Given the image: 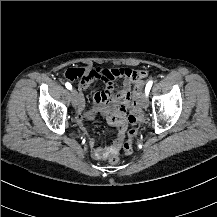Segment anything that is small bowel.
I'll return each instance as SVG.
<instances>
[{
	"label": "small bowel",
	"mask_w": 217,
	"mask_h": 217,
	"mask_svg": "<svg viewBox=\"0 0 217 217\" xmlns=\"http://www.w3.org/2000/svg\"><path fill=\"white\" fill-rule=\"evenodd\" d=\"M145 75L135 76L132 70L128 69L124 74L119 75L123 78L119 88L114 83L117 76L106 69H94L81 75L80 90L86 89L92 81L97 80L105 87L94 95L95 108L93 110L87 112L78 110L74 118L75 123L83 132H86L85 121L93 120L96 112H102L116 131L115 142L109 146H97L93 137L88 138L92 158L102 160L110 154L120 152L130 116H135L137 120L142 117L143 77ZM133 85H135L134 90H132ZM80 97L83 100L82 93Z\"/></svg>",
	"instance_id": "c3829d8e"
}]
</instances>
